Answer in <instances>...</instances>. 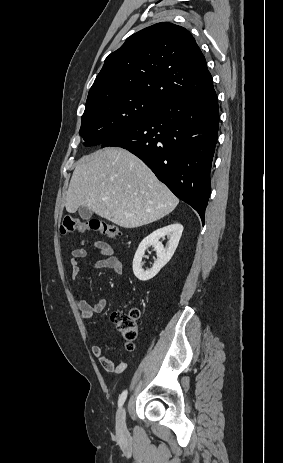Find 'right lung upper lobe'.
I'll return each mask as SVG.
<instances>
[{"instance_id": "obj_1", "label": "right lung upper lobe", "mask_w": 283, "mask_h": 463, "mask_svg": "<svg viewBox=\"0 0 283 463\" xmlns=\"http://www.w3.org/2000/svg\"><path fill=\"white\" fill-rule=\"evenodd\" d=\"M211 87L205 57L190 32L161 22L131 35L107 56L86 102L128 92L160 104Z\"/></svg>"}]
</instances>
